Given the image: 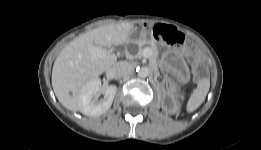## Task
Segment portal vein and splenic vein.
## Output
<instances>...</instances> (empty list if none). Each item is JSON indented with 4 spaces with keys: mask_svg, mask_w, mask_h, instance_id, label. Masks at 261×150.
Masks as SVG:
<instances>
[{
    "mask_svg": "<svg viewBox=\"0 0 261 150\" xmlns=\"http://www.w3.org/2000/svg\"><path fill=\"white\" fill-rule=\"evenodd\" d=\"M89 51L92 55V60L96 59V58H100V57H104L108 54V52L104 49L101 48H97L94 46L89 47ZM149 53V49H144L143 50V54L147 55Z\"/></svg>",
    "mask_w": 261,
    "mask_h": 150,
    "instance_id": "18ae733b",
    "label": "portal vein and splenic vein"
}]
</instances>
